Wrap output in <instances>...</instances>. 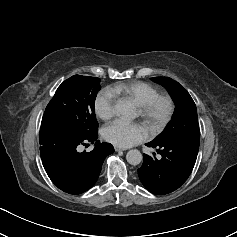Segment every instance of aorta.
Segmentation results:
<instances>
[{"label": "aorta", "instance_id": "aorta-1", "mask_svg": "<svg viewBox=\"0 0 237 237\" xmlns=\"http://www.w3.org/2000/svg\"><path fill=\"white\" fill-rule=\"evenodd\" d=\"M116 111L119 113L121 117H123L125 120H132L135 115L132 107L125 103L120 102L115 106ZM143 159V156L139 150L132 149L127 152L126 160L131 165H138L141 163Z\"/></svg>", "mask_w": 237, "mask_h": 237}]
</instances>
